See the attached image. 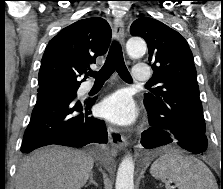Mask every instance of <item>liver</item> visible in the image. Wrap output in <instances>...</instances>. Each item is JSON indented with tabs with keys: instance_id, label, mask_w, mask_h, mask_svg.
Wrapping results in <instances>:
<instances>
[{
	"instance_id": "1",
	"label": "liver",
	"mask_w": 223,
	"mask_h": 189,
	"mask_svg": "<svg viewBox=\"0 0 223 189\" xmlns=\"http://www.w3.org/2000/svg\"><path fill=\"white\" fill-rule=\"evenodd\" d=\"M93 166V158L85 152L62 146L42 148L23 159L16 189H81Z\"/></svg>"
}]
</instances>
